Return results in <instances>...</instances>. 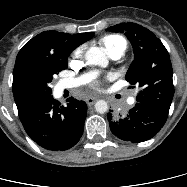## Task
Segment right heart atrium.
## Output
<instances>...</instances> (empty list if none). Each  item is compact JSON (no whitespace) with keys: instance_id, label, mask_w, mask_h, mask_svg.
Masks as SVG:
<instances>
[{"instance_id":"right-heart-atrium-1","label":"right heart atrium","mask_w":187,"mask_h":187,"mask_svg":"<svg viewBox=\"0 0 187 187\" xmlns=\"http://www.w3.org/2000/svg\"><path fill=\"white\" fill-rule=\"evenodd\" d=\"M81 54V49H77L74 53L75 57H78Z\"/></svg>"}]
</instances>
